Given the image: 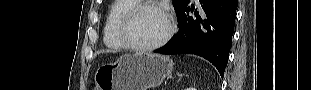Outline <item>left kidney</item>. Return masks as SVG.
I'll list each match as a JSON object with an SVG mask.
<instances>
[{
	"mask_svg": "<svg viewBox=\"0 0 311 90\" xmlns=\"http://www.w3.org/2000/svg\"><path fill=\"white\" fill-rule=\"evenodd\" d=\"M187 90H195V88H193V87H190V88H187Z\"/></svg>",
	"mask_w": 311,
	"mask_h": 90,
	"instance_id": "1",
	"label": "left kidney"
}]
</instances>
